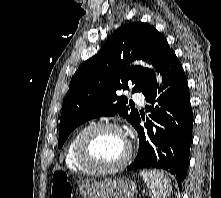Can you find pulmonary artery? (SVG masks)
I'll return each mask as SVG.
<instances>
[{
	"instance_id": "obj_1",
	"label": "pulmonary artery",
	"mask_w": 221,
	"mask_h": 198,
	"mask_svg": "<svg viewBox=\"0 0 221 198\" xmlns=\"http://www.w3.org/2000/svg\"><path fill=\"white\" fill-rule=\"evenodd\" d=\"M132 98L134 101H136L137 103L139 104H143L144 103V96L139 93V92H136L132 95Z\"/></svg>"
}]
</instances>
